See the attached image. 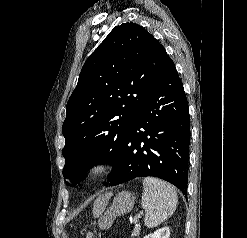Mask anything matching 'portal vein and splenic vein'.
Segmentation results:
<instances>
[{"mask_svg": "<svg viewBox=\"0 0 247 238\" xmlns=\"http://www.w3.org/2000/svg\"><path fill=\"white\" fill-rule=\"evenodd\" d=\"M140 217V215H138L137 217H135V219H137V218H139Z\"/></svg>", "mask_w": 247, "mask_h": 238, "instance_id": "portal-vein-and-splenic-vein-1", "label": "portal vein and splenic vein"}]
</instances>
